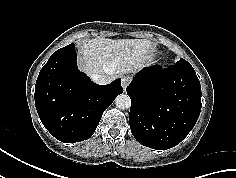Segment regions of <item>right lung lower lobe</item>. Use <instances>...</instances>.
<instances>
[{
    "label": "right lung lower lobe",
    "instance_id": "right-lung-lower-lobe-1",
    "mask_svg": "<svg viewBox=\"0 0 236 178\" xmlns=\"http://www.w3.org/2000/svg\"><path fill=\"white\" fill-rule=\"evenodd\" d=\"M123 92L121 80L97 85L76 66L74 44L57 50L41 69L35 105L44 127L65 143L89 139L104 110Z\"/></svg>",
    "mask_w": 236,
    "mask_h": 178
}]
</instances>
